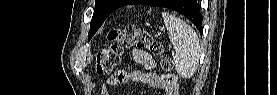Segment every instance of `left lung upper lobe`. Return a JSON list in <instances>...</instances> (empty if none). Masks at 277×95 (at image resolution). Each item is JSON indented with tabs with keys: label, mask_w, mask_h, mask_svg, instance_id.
I'll return each mask as SVG.
<instances>
[{
	"label": "left lung upper lobe",
	"mask_w": 277,
	"mask_h": 95,
	"mask_svg": "<svg viewBox=\"0 0 277 95\" xmlns=\"http://www.w3.org/2000/svg\"><path fill=\"white\" fill-rule=\"evenodd\" d=\"M183 0H180L181 2ZM131 0H96L93 17L90 23L89 39L104 23L105 19L118 8L127 5ZM175 0L172 2V4ZM161 0H153L150 4L152 7H159ZM171 6V5H170Z\"/></svg>",
	"instance_id": "left-lung-upper-lobe-1"
}]
</instances>
